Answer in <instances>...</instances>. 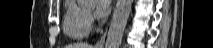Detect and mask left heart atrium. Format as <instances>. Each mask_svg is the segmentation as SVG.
Wrapping results in <instances>:
<instances>
[{
  "label": "left heart atrium",
  "instance_id": "left-heart-atrium-1",
  "mask_svg": "<svg viewBox=\"0 0 213 48\" xmlns=\"http://www.w3.org/2000/svg\"><path fill=\"white\" fill-rule=\"evenodd\" d=\"M111 3L110 0H98L96 2L95 15L98 18L108 15L111 10Z\"/></svg>",
  "mask_w": 213,
  "mask_h": 48
}]
</instances>
